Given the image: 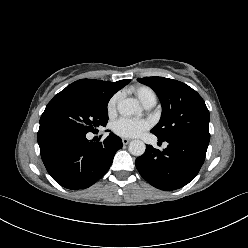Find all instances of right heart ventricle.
<instances>
[{"mask_svg": "<svg viewBox=\"0 0 248 248\" xmlns=\"http://www.w3.org/2000/svg\"><path fill=\"white\" fill-rule=\"evenodd\" d=\"M140 102L145 106L147 104L156 103L157 97L155 92L148 86L140 85L132 89Z\"/></svg>", "mask_w": 248, "mask_h": 248, "instance_id": "e07e8e85", "label": "right heart ventricle"}]
</instances>
